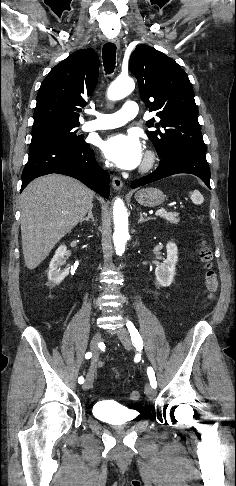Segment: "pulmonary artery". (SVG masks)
I'll list each match as a JSON object with an SVG mask.
<instances>
[{
	"label": "pulmonary artery",
	"instance_id": "1",
	"mask_svg": "<svg viewBox=\"0 0 236 486\" xmlns=\"http://www.w3.org/2000/svg\"><path fill=\"white\" fill-rule=\"evenodd\" d=\"M96 118L82 125L83 131L112 129L126 124L138 114V105L134 101H126L122 108L112 114L94 112Z\"/></svg>",
	"mask_w": 236,
	"mask_h": 486
}]
</instances>
